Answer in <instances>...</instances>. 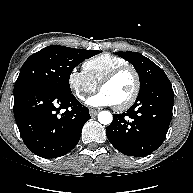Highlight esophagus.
Here are the masks:
<instances>
[{
    "mask_svg": "<svg viewBox=\"0 0 193 193\" xmlns=\"http://www.w3.org/2000/svg\"><path fill=\"white\" fill-rule=\"evenodd\" d=\"M89 113H90V116H91V117H94V116L97 115L98 110H96V109H90V110H89Z\"/></svg>",
    "mask_w": 193,
    "mask_h": 193,
    "instance_id": "esophagus-1",
    "label": "esophagus"
}]
</instances>
